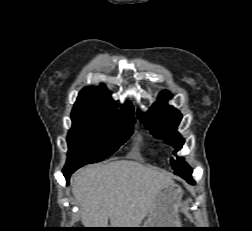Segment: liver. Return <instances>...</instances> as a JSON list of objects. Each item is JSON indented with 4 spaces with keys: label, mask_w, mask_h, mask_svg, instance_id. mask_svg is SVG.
I'll use <instances>...</instances> for the list:
<instances>
[{
    "label": "liver",
    "mask_w": 252,
    "mask_h": 231,
    "mask_svg": "<svg viewBox=\"0 0 252 231\" xmlns=\"http://www.w3.org/2000/svg\"><path fill=\"white\" fill-rule=\"evenodd\" d=\"M173 183L168 173L136 161L87 166L71 180L86 228H137L160 191Z\"/></svg>",
    "instance_id": "obj_1"
}]
</instances>
